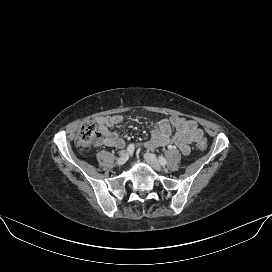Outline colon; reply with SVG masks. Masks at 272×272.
Returning <instances> with one entry per match:
<instances>
[{
  "label": "colon",
  "instance_id": "5ec220e1",
  "mask_svg": "<svg viewBox=\"0 0 272 272\" xmlns=\"http://www.w3.org/2000/svg\"><path fill=\"white\" fill-rule=\"evenodd\" d=\"M101 136L98 131L97 124L94 119L85 120L78 130L76 135V144L81 148L91 147ZM200 150H205L207 148V141L205 139L201 140L197 144Z\"/></svg>",
  "mask_w": 272,
  "mask_h": 272
}]
</instances>
